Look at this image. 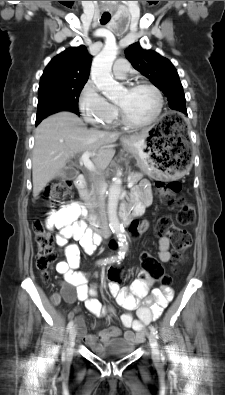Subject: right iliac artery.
<instances>
[{
	"instance_id": "82829eb1",
	"label": "right iliac artery",
	"mask_w": 225,
	"mask_h": 395,
	"mask_svg": "<svg viewBox=\"0 0 225 395\" xmlns=\"http://www.w3.org/2000/svg\"><path fill=\"white\" fill-rule=\"evenodd\" d=\"M115 260H116L115 257L106 258V259H104V260L98 261V264H99V265H103V264L106 265V264H108V263L115 262ZM73 324H74V322H73V321H70V322L68 323V325H67V329H68V330L72 329V328H73Z\"/></svg>"
}]
</instances>
